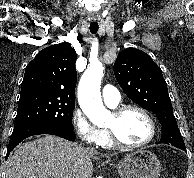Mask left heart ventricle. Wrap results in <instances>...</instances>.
<instances>
[{
  "label": "left heart ventricle",
  "instance_id": "b2bd125f",
  "mask_svg": "<svg viewBox=\"0 0 194 178\" xmlns=\"http://www.w3.org/2000/svg\"><path fill=\"white\" fill-rule=\"evenodd\" d=\"M106 127L114 128L121 140L131 144L141 143L150 135L149 121L135 110L127 112L120 118L111 114Z\"/></svg>",
  "mask_w": 194,
  "mask_h": 178
}]
</instances>
